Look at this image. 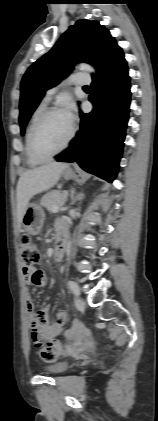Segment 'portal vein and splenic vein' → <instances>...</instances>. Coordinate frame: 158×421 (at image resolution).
<instances>
[{"label":"portal vein and splenic vein","instance_id":"portal-vein-and-splenic-vein-1","mask_svg":"<svg viewBox=\"0 0 158 421\" xmlns=\"http://www.w3.org/2000/svg\"><path fill=\"white\" fill-rule=\"evenodd\" d=\"M60 209H62V208H60V207H55V208H53L52 212L56 213V212H58Z\"/></svg>","mask_w":158,"mask_h":421}]
</instances>
